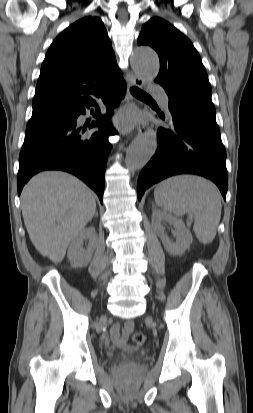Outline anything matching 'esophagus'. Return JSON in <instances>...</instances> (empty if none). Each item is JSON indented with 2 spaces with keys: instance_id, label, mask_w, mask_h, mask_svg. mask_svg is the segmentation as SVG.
I'll return each mask as SVG.
<instances>
[{
  "instance_id": "34e87169",
  "label": "esophagus",
  "mask_w": 253,
  "mask_h": 413,
  "mask_svg": "<svg viewBox=\"0 0 253 413\" xmlns=\"http://www.w3.org/2000/svg\"><path fill=\"white\" fill-rule=\"evenodd\" d=\"M132 83H133V85H135L139 88H142L143 85H144V81L141 78L137 77V76H133ZM147 131H149V127L146 124H143V125H141L137 128V132L140 133V134L144 133V132H147Z\"/></svg>"
}]
</instances>
